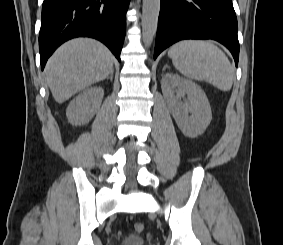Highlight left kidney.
<instances>
[{
    "label": "left kidney",
    "instance_id": "obj_1",
    "mask_svg": "<svg viewBox=\"0 0 283 245\" xmlns=\"http://www.w3.org/2000/svg\"><path fill=\"white\" fill-rule=\"evenodd\" d=\"M161 88L169 110L182 133L191 138L203 134L212 120V112L202 88L173 73H167L162 77ZM184 94L188 96V104L179 103L180 97Z\"/></svg>",
    "mask_w": 283,
    "mask_h": 245
}]
</instances>
